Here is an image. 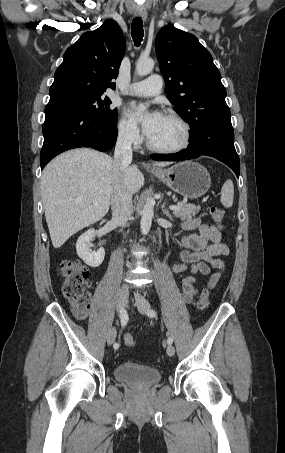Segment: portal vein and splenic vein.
Listing matches in <instances>:
<instances>
[{
    "instance_id": "obj_1",
    "label": "portal vein and splenic vein",
    "mask_w": 285,
    "mask_h": 453,
    "mask_svg": "<svg viewBox=\"0 0 285 453\" xmlns=\"http://www.w3.org/2000/svg\"><path fill=\"white\" fill-rule=\"evenodd\" d=\"M169 208H170L171 210H177V209L180 208V206H179V204H178V205H170Z\"/></svg>"
}]
</instances>
